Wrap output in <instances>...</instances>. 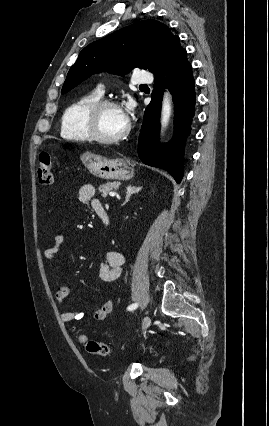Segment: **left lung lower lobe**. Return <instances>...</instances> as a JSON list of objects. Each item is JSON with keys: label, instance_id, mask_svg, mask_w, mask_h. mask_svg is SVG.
I'll list each match as a JSON object with an SVG mask.
<instances>
[{"label": "left lung lower lobe", "instance_id": "obj_1", "mask_svg": "<svg viewBox=\"0 0 269 426\" xmlns=\"http://www.w3.org/2000/svg\"><path fill=\"white\" fill-rule=\"evenodd\" d=\"M155 75L152 100L144 112L138 155L147 165L165 169L180 183L183 176L185 140L195 113V81L186 50L177 37L150 70ZM168 88L174 97L175 132L169 144L158 143L162 95Z\"/></svg>", "mask_w": 269, "mask_h": 426}]
</instances>
